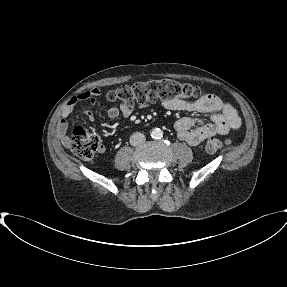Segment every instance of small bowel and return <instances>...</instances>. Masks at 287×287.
Listing matches in <instances>:
<instances>
[{"label":"small bowel","mask_w":287,"mask_h":287,"mask_svg":"<svg viewBox=\"0 0 287 287\" xmlns=\"http://www.w3.org/2000/svg\"><path fill=\"white\" fill-rule=\"evenodd\" d=\"M101 94L99 88H93L88 91L81 92L77 96L72 97L62 112V118L57 125V135L62 143L69 145L68 117L73 108L79 103L89 101L91 104L96 103V98ZM164 107L173 111H194L198 113H207L210 115V122L196 127V119L192 117H184L176 121L175 131L178 138L189 145L196 146L206 139L215 135H224L231 130H236L241 126V119L236 110L229 104L224 102L218 96L207 94L203 98L195 102H187L182 99H172L163 103ZM134 107L121 104L119 107L111 106L108 109V116L111 119L117 118L120 114L124 118H129L133 113ZM83 114L90 120L95 119L94 113L90 109H85Z\"/></svg>","instance_id":"small-bowel-1"}]
</instances>
